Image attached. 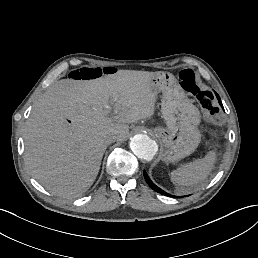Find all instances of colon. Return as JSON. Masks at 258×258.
Listing matches in <instances>:
<instances>
[{
  "label": "colon",
  "mask_w": 258,
  "mask_h": 258,
  "mask_svg": "<svg viewBox=\"0 0 258 258\" xmlns=\"http://www.w3.org/2000/svg\"><path fill=\"white\" fill-rule=\"evenodd\" d=\"M118 72L115 67H82L73 70L70 78L76 81H91ZM182 86L198 101L200 106L213 114L216 110L213 93L202 87L196 73L191 69L183 70L179 75Z\"/></svg>",
  "instance_id": "obj_1"
}]
</instances>
